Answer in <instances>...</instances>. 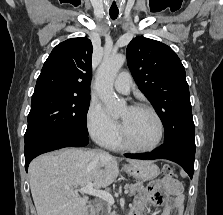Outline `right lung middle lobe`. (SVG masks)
I'll use <instances>...</instances> for the list:
<instances>
[{
	"mask_svg": "<svg viewBox=\"0 0 223 215\" xmlns=\"http://www.w3.org/2000/svg\"><path fill=\"white\" fill-rule=\"evenodd\" d=\"M90 97L57 93L33 94L24 140L55 134L88 136Z\"/></svg>",
	"mask_w": 223,
	"mask_h": 215,
	"instance_id": "dd1d6c3e",
	"label": "right lung middle lobe"
}]
</instances>
